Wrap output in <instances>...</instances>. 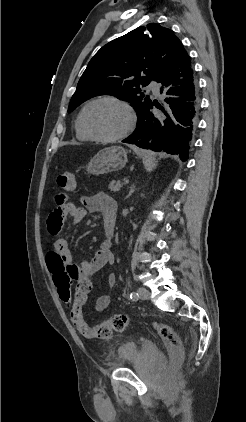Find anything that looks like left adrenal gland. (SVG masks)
<instances>
[{
	"label": "left adrenal gland",
	"instance_id": "left-adrenal-gland-1",
	"mask_svg": "<svg viewBox=\"0 0 246 422\" xmlns=\"http://www.w3.org/2000/svg\"><path fill=\"white\" fill-rule=\"evenodd\" d=\"M135 190H137V189H136L135 184H133V185L130 187V191H129V193H128V195L126 196V198H125V199L129 198V197L131 196V194H132L133 192H135Z\"/></svg>",
	"mask_w": 246,
	"mask_h": 422
}]
</instances>
